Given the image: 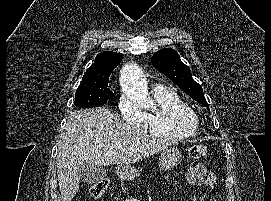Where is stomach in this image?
Masks as SVG:
<instances>
[{
    "label": "stomach",
    "instance_id": "obj_1",
    "mask_svg": "<svg viewBox=\"0 0 271 201\" xmlns=\"http://www.w3.org/2000/svg\"><path fill=\"white\" fill-rule=\"evenodd\" d=\"M182 160V152L179 148L172 146L165 148L159 158V166L162 170H169L177 166ZM118 176L124 181H132L140 174L137 169L129 165H119L117 168Z\"/></svg>",
    "mask_w": 271,
    "mask_h": 201
}]
</instances>
